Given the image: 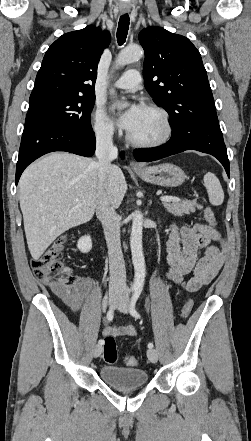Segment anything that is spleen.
Returning a JSON list of instances; mask_svg holds the SVG:
<instances>
[{
	"instance_id": "obj_1",
	"label": "spleen",
	"mask_w": 251,
	"mask_h": 441,
	"mask_svg": "<svg viewBox=\"0 0 251 441\" xmlns=\"http://www.w3.org/2000/svg\"><path fill=\"white\" fill-rule=\"evenodd\" d=\"M204 186L206 187L209 201L214 206H219L224 201V192L219 179L215 174L209 172L204 176Z\"/></svg>"
}]
</instances>
